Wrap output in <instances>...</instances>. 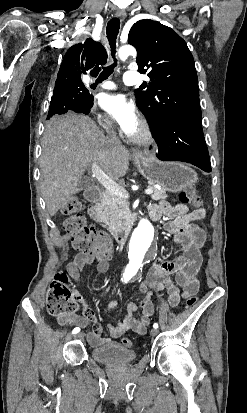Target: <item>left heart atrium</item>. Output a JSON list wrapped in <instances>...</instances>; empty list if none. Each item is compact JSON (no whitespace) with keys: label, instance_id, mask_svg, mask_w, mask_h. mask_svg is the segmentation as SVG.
<instances>
[{"label":"left heart atrium","instance_id":"1","mask_svg":"<svg viewBox=\"0 0 247 413\" xmlns=\"http://www.w3.org/2000/svg\"><path fill=\"white\" fill-rule=\"evenodd\" d=\"M102 107L118 122L127 136H134L141 125L136 106L121 94H106L100 98Z\"/></svg>","mask_w":247,"mask_h":413}]
</instances>
